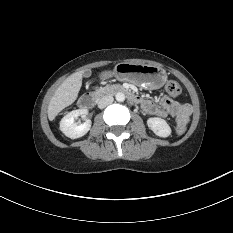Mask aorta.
<instances>
[{
    "label": "aorta",
    "instance_id": "aorta-1",
    "mask_svg": "<svg viewBox=\"0 0 233 233\" xmlns=\"http://www.w3.org/2000/svg\"><path fill=\"white\" fill-rule=\"evenodd\" d=\"M115 99L118 102H123L125 100V95L122 92H119L115 95Z\"/></svg>",
    "mask_w": 233,
    "mask_h": 233
}]
</instances>
